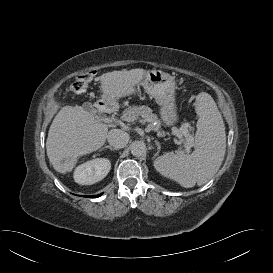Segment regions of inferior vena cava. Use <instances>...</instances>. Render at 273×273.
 <instances>
[{"instance_id": "1", "label": "inferior vena cava", "mask_w": 273, "mask_h": 273, "mask_svg": "<svg viewBox=\"0 0 273 273\" xmlns=\"http://www.w3.org/2000/svg\"><path fill=\"white\" fill-rule=\"evenodd\" d=\"M129 134L120 129H112L107 134L109 144L116 149L124 148L129 142Z\"/></svg>"}]
</instances>
